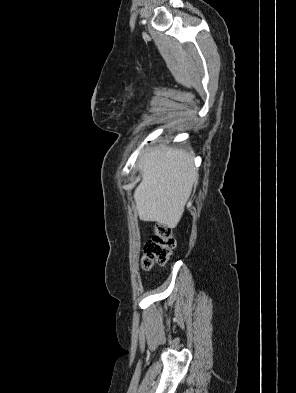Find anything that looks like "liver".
<instances>
[{
    "label": "liver",
    "instance_id": "liver-1",
    "mask_svg": "<svg viewBox=\"0 0 296 393\" xmlns=\"http://www.w3.org/2000/svg\"><path fill=\"white\" fill-rule=\"evenodd\" d=\"M193 160L191 153L164 145L142 152L138 161L142 181L134 192L141 220L169 228L178 225L198 183Z\"/></svg>",
    "mask_w": 296,
    "mask_h": 393
}]
</instances>
